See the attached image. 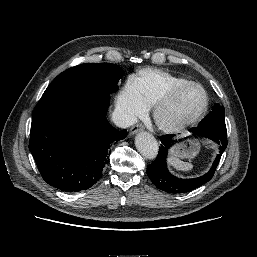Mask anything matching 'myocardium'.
Listing matches in <instances>:
<instances>
[{"label": "myocardium", "mask_w": 257, "mask_h": 257, "mask_svg": "<svg viewBox=\"0 0 257 257\" xmlns=\"http://www.w3.org/2000/svg\"><path fill=\"white\" fill-rule=\"evenodd\" d=\"M190 87H198L203 92L204 102L199 111L194 116L184 121L171 122L166 120L163 116L164 109L173 102L179 93ZM208 107L209 96L205 88L197 82L190 81L172 88L163 98H161L154 107L153 115L157 125L163 131L167 133H178L198 124L206 114Z\"/></svg>", "instance_id": "obj_1"}]
</instances>
